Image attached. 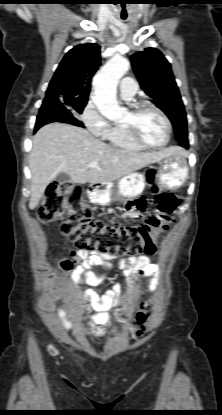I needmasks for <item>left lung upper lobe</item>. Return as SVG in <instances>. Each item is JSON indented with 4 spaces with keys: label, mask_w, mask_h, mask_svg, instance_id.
Here are the masks:
<instances>
[{
    "label": "left lung upper lobe",
    "mask_w": 222,
    "mask_h": 415,
    "mask_svg": "<svg viewBox=\"0 0 222 415\" xmlns=\"http://www.w3.org/2000/svg\"><path fill=\"white\" fill-rule=\"evenodd\" d=\"M130 60L141 88L171 120L177 142H188L186 113L170 63L156 48L137 52Z\"/></svg>",
    "instance_id": "obj_1"
}]
</instances>
